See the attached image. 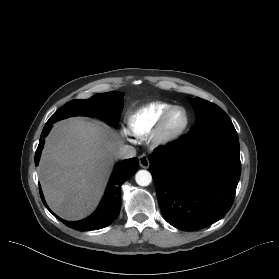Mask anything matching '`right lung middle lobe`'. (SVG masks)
<instances>
[{"label": "right lung middle lobe", "mask_w": 279, "mask_h": 279, "mask_svg": "<svg viewBox=\"0 0 279 279\" xmlns=\"http://www.w3.org/2000/svg\"><path fill=\"white\" fill-rule=\"evenodd\" d=\"M123 93L107 92L94 95L86 100H72L54 113L46 124L76 115H96L114 127L118 126L123 109Z\"/></svg>", "instance_id": "obj_1"}]
</instances>
